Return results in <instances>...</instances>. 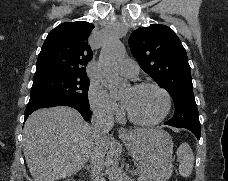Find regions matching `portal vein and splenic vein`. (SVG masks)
Returning <instances> with one entry per match:
<instances>
[{
    "instance_id": "obj_1",
    "label": "portal vein and splenic vein",
    "mask_w": 228,
    "mask_h": 181,
    "mask_svg": "<svg viewBox=\"0 0 228 181\" xmlns=\"http://www.w3.org/2000/svg\"><path fill=\"white\" fill-rule=\"evenodd\" d=\"M133 170H134V172L137 173V174L140 172V171H139L140 169H139L138 167H137V168L135 167Z\"/></svg>"
}]
</instances>
